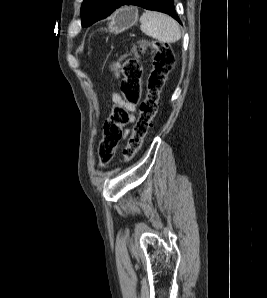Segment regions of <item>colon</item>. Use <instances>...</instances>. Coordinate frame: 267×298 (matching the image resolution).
<instances>
[{
    "label": "colon",
    "mask_w": 267,
    "mask_h": 298,
    "mask_svg": "<svg viewBox=\"0 0 267 298\" xmlns=\"http://www.w3.org/2000/svg\"><path fill=\"white\" fill-rule=\"evenodd\" d=\"M144 53L152 55L153 68L148 78L146 97L140 104L139 118L123 152L125 162L131 161L141 149L156 115L160 93L174 64V55L169 44L151 41L140 42L134 55L122 65L121 87L124 97L129 103L136 105L141 97L143 67L140 55ZM126 124L127 113L121 109L114 111L105 122L98 146L101 167L107 166L113 159Z\"/></svg>",
    "instance_id": "1"
}]
</instances>
